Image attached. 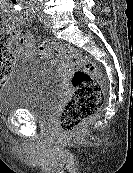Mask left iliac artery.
I'll return each instance as SVG.
<instances>
[{
    "mask_svg": "<svg viewBox=\"0 0 133 173\" xmlns=\"http://www.w3.org/2000/svg\"><path fill=\"white\" fill-rule=\"evenodd\" d=\"M38 17H39V16H38ZM39 20H40L41 22L43 21L42 15H40Z\"/></svg>",
    "mask_w": 133,
    "mask_h": 173,
    "instance_id": "left-iliac-artery-1",
    "label": "left iliac artery"
}]
</instances>
